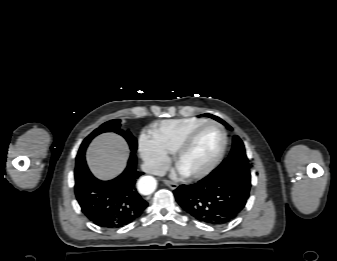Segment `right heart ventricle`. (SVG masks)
Returning <instances> with one entry per match:
<instances>
[{
	"label": "right heart ventricle",
	"mask_w": 337,
	"mask_h": 261,
	"mask_svg": "<svg viewBox=\"0 0 337 261\" xmlns=\"http://www.w3.org/2000/svg\"><path fill=\"white\" fill-rule=\"evenodd\" d=\"M205 121L197 117L162 120L151 126L150 137L166 154H173L184 137Z\"/></svg>",
	"instance_id": "1"
}]
</instances>
